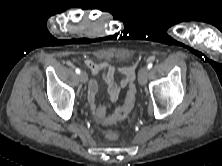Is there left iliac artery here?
Listing matches in <instances>:
<instances>
[{
    "label": "left iliac artery",
    "instance_id": "obj_1",
    "mask_svg": "<svg viewBox=\"0 0 222 166\" xmlns=\"http://www.w3.org/2000/svg\"><path fill=\"white\" fill-rule=\"evenodd\" d=\"M152 66H153V64H152V63H149V64L147 65V68H148V69H151Z\"/></svg>",
    "mask_w": 222,
    "mask_h": 166
}]
</instances>
